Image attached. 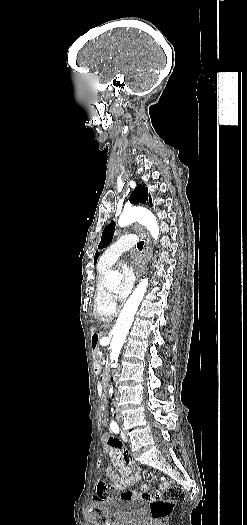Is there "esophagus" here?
I'll use <instances>...</instances> for the list:
<instances>
[{"instance_id": "34e87169", "label": "esophagus", "mask_w": 247, "mask_h": 525, "mask_svg": "<svg viewBox=\"0 0 247 525\" xmlns=\"http://www.w3.org/2000/svg\"><path fill=\"white\" fill-rule=\"evenodd\" d=\"M144 253H145V258L141 262V265L143 266V267H141V270H144V267H146L148 265L147 261L150 259V236H149L148 233H147V238H146V244H145V247H144Z\"/></svg>"}]
</instances>
